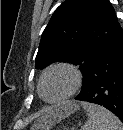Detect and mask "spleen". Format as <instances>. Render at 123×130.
I'll return each mask as SVG.
<instances>
[{
	"label": "spleen",
	"mask_w": 123,
	"mask_h": 130,
	"mask_svg": "<svg viewBox=\"0 0 123 130\" xmlns=\"http://www.w3.org/2000/svg\"><path fill=\"white\" fill-rule=\"evenodd\" d=\"M82 106L88 119L81 130H123L120 119L106 108L88 102H83Z\"/></svg>",
	"instance_id": "1"
}]
</instances>
